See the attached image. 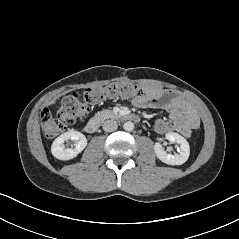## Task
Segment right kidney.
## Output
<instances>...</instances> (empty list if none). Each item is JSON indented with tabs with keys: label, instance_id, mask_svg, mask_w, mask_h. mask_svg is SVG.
I'll return each mask as SVG.
<instances>
[{
	"label": "right kidney",
	"instance_id": "1",
	"mask_svg": "<svg viewBox=\"0 0 239 239\" xmlns=\"http://www.w3.org/2000/svg\"><path fill=\"white\" fill-rule=\"evenodd\" d=\"M74 141L72 148H65L64 142ZM87 146L86 137L78 131H68L57 137L51 146L52 155L59 160H70L75 158Z\"/></svg>",
	"mask_w": 239,
	"mask_h": 239
}]
</instances>
